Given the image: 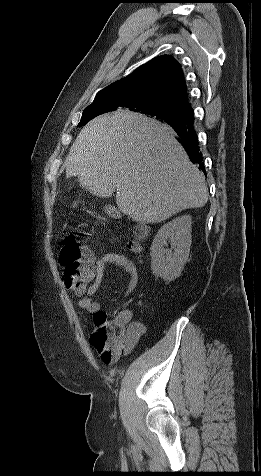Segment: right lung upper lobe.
<instances>
[{
	"mask_svg": "<svg viewBox=\"0 0 261 476\" xmlns=\"http://www.w3.org/2000/svg\"><path fill=\"white\" fill-rule=\"evenodd\" d=\"M110 95L119 96L121 110L149 102L166 104L184 112L192 110L181 66L168 55L152 59L102 89L95 100Z\"/></svg>",
	"mask_w": 261,
	"mask_h": 476,
	"instance_id": "obj_1",
	"label": "right lung upper lobe"
}]
</instances>
